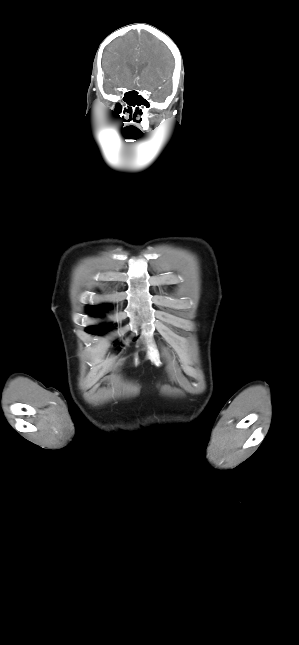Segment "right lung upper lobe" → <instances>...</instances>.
Here are the masks:
<instances>
[{
	"label": "right lung upper lobe",
	"mask_w": 299,
	"mask_h": 645,
	"mask_svg": "<svg viewBox=\"0 0 299 645\" xmlns=\"http://www.w3.org/2000/svg\"><path fill=\"white\" fill-rule=\"evenodd\" d=\"M88 311H89V312H92V313H99V312H100L97 308H95V307H93V306H89V307H88Z\"/></svg>",
	"instance_id": "1"
}]
</instances>
